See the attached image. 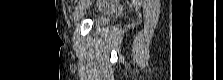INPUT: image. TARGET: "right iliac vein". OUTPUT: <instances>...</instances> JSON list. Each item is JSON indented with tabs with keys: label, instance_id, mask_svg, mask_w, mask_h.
<instances>
[{
	"label": "right iliac vein",
	"instance_id": "1",
	"mask_svg": "<svg viewBox=\"0 0 223 80\" xmlns=\"http://www.w3.org/2000/svg\"><path fill=\"white\" fill-rule=\"evenodd\" d=\"M90 3L89 2H83L81 3L74 12V21H78L86 12L88 9Z\"/></svg>",
	"mask_w": 223,
	"mask_h": 80
}]
</instances>
